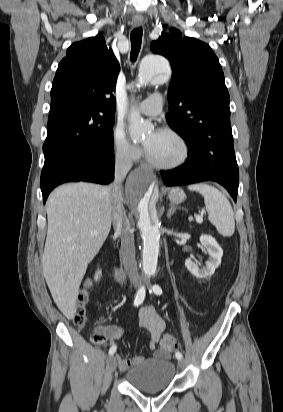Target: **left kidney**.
<instances>
[{
	"mask_svg": "<svg viewBox=\"0 0 283 412\" xmlns=\"http://www.w3.org/2000/svg\"><path fill=\"white\" fill-rule=\"evenodd\" d=\"M200 242L209 254V260L206 262V266L199 268L190 258L186 259L185 266L195 277L207 278L212 276L215 269L221 264L223 250L216 240L210 235H201Z\"/></svg>",
	"mask_w": 283,
	"mask_h": 412,
	"instance_id": "5707ae66",
	"label": "left kidney"
}]
</instances>
